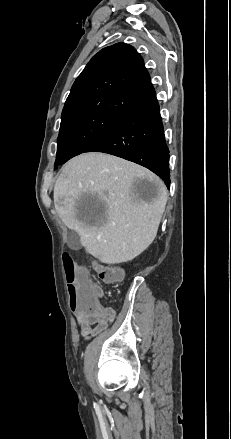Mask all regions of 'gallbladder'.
I'll list each match as a JSON object with an SVG mask.
<instances>
[{
	"label": "gallbladder",
	"instance_id": "1",
	"mask_svg": "<svg viewBox=\"0 0 231 439\" xmlns=\"http://www.w3.org/2000/svg\"><path fill=\"white\" fill-rule=\"evenodd\" d=\"M74 246H78V244L74 243Z\"/></svg>",
	"mask_w": 231,
	"mask_h": 439
}]
</instances>
